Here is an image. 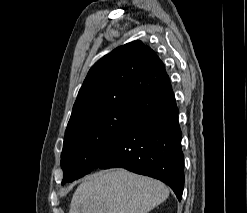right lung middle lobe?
Listing matches in <instances>:
<instances>
[{
	"label": "right lung middle lobe",
	"mask_w": 247,
	"mask_h": 213,
	"mask_svg": "<svg viewBox=\"0 0 247 213\" xmlns=\"http://www.w3.org/2000/svg\"><path fill=\"white\" fill-rule=\"evenodd\" d=\"M130 109V100L120 102L65 132L61 154L62 184L94 169L99 153L117 135Z\"/></svg>",
	"instance_id": "1"
}]
</instances>
